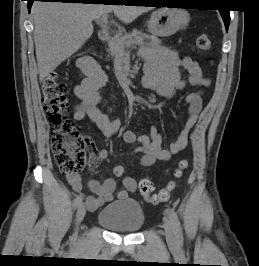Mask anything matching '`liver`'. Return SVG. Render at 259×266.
<instances>
[{"label":"liver","instance_id":"6515ba94","mask_svg":"<svg viewBox=\"0 0 259 266\" xmlns=\"http://www.w3.org/2000/svg\"><path fill=\"white\" fill-rule=\"evenodd\" d=\"M151 8L145 6L34 2V42L42 82L64 60L77 52L93 34L92 21L111 11L131 23Z\"/></svg>","mask_w":259,"mask_h":266}]
</instances>
